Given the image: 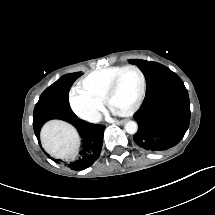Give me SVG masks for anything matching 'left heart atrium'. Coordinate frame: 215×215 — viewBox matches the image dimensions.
<instances>
[{
    "label": "left heart atrium",
    "mask_w": 215,
    "mask_h": 215,
    "mask_svg": "<svg viewBox=\"0 0 215 215\" xmlns=\"http://www.w3.org/2000/svg\"><path fill=\"white\" fill-rule=\"evenodd\" d=\"M105 113H106V114L109 113L108 109L105 110Z\"/></svg>",
    "instance_id": "obj_1"
}]
</instances>
